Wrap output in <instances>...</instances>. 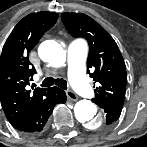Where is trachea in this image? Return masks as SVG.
I'll return each mask as SVG.
<instances>
[{"instance_id":"3493384b","label":"trachea","mask_w":147,"mask_h":147,"mask_svg":"<svg viewBox=\"0 0 147 147\" xmlns=\"http://www.w3.org/2000/svg\"><path fill=\"white\" fill-rule=\"evenodd\" d=\"M57 85L58 87L66 90L67 89V82L63 79H54L53 77H47L44 79V81L42 82L41 86L42 87H49L52 85Z\"/></svg>"}]
</instances>
